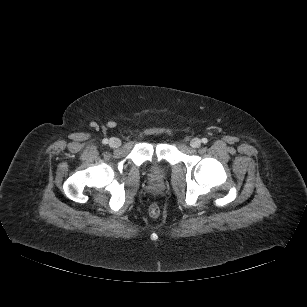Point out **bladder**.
I'll return each instance as SVG.
<instances>
[{
  "mask_svg": "<svg viewBox=\"0 0 307 307\" xmlns=\"http://www.w3.org/2000/svg\"><path fill=\"white\" fill-rule=\"evenodd\" d=\"M147 170H148L149 175L154 180H159L163 178L166 173V169L161 164L155 161L148 164Z\"/></svg>",
  "mask_w": 307,
  "mask_h": 307,
  "instance_id": "bladder-1",
  "label": "bladder"
}]
</instances>
